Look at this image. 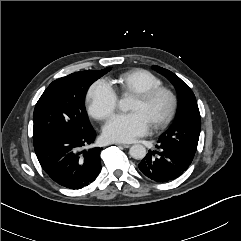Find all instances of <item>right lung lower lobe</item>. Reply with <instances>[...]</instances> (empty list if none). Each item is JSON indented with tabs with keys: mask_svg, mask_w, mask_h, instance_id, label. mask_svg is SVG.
Here are the masks:
<instances>
[{
	"mask_svg": "<svg viewBox=\"0 0 241 241\" xmlns=\"http://www.w3.org/2000/svg\"><path fill=\"white\" fill-rule=\"evenodd\" d=\"M93 129L82 134H63L35 147L40 165L61 186L81 189L93 182L101 171V148L82 150L94 142Z\"/></svg>",
	"mask_w": 241,
	"mask_h": 241,
	"instance_id": "1",
	"label": "right lung lower lobe"
}]
</instances>
